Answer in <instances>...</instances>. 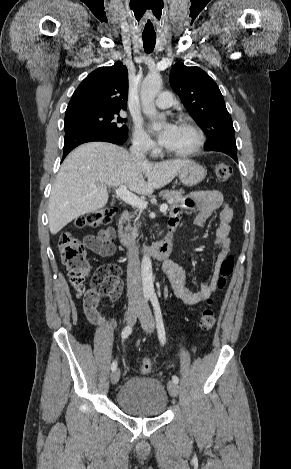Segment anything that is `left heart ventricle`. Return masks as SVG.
Returning <instances> with one entry per match:
<instances>
[{
    "label": "left heart ventricle",
    "mask_w": 291,
    "mask_h": 469,
    "mask_svg": "<svg viewBox=\"0 0 291 469\" xmlns=\"http://www.w3.org/2000/svg\"><path fill=\"white\" fill-rule=\"evenodd\" d=\"M194 142V132L188 126L177 125L172 139L165 148L172 151H185L192 147Z\"/></svg>",
    "instance_id": "b2bd125f"
}]
</instances>
